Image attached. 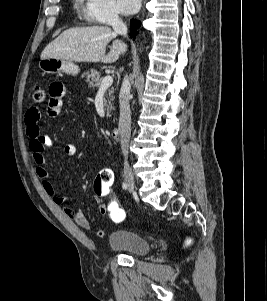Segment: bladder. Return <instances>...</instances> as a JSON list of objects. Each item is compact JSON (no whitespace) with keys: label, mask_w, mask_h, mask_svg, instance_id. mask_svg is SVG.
I'll return each mask as SVG.
<instances>
[{"label":"bladder","mask_w":267,"mask_h":301,"mask_svg":"<svg viewBox=\"0 0 267 301\" xmlns=\"http://www.w3.org/2000/svg\"><path fill=\"white\" fill-rule=\"evenodd\" d=\"M108 244L112 250L137 256L148 254L152 249V245L147 239L127 230L113 231L109 235Z\"/></svg>","instance_id":"31cf9c89"}]
</instances>
